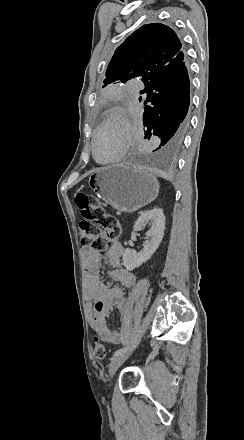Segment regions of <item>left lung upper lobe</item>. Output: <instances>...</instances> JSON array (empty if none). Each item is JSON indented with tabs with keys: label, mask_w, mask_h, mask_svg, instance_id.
Here are the masks:
<instances>
[{
	"label": "left lung upper lobe",
	"mask_w": 244,
	"mask_h": 440,
	"mask_svg": "<svg viewBox=\"0 0 244 440\" xmlns=\"http://www.w3.org/2000/svg\"><path fill=\"white\" fill-rule=\"evenodd\" d=\"M183 59L182 44L170 27L159 23L143 25L115 50L103 87L136 77L146 85L161 69Z\"/></svg>",
	"instance_id": "1"
}]
</instances>
